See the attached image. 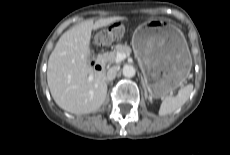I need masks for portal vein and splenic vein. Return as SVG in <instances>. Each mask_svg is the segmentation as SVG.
I'll use <instances>...</instances> for the list:
<instances>
[{
	"label": "portal vein and splenic vein",
	"mask_w": 230,
	"mask_h": 155,
	"mask_svg": "<svg viewBox=\"0 0 230 155\" xmlns=\"http://www.w3.org/2000/svg\"><path fill=\"white\" fill-rule=\"evenodd\" d=\"M125 58H126V54H124V53H118L117 57H116V60L118 62H120V61L124 60Z\"/></svg>",
	"instance_id": "obj_1"
}]
</instances>
